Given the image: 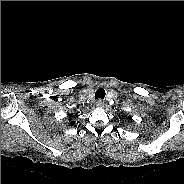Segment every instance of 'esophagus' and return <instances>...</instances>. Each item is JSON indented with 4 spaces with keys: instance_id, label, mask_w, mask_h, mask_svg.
I'll return each instance as SVG.
<instances>
[{
    "instance_id": "esophagus-1",
    "label": "esophagus",
    "mask_w": 184,
    "mask_h": 184,
    "mask_svg": "<svg viewBox=\"0 0 184 184\" xmlns=\"http://www.w3.org/2000/svg\"><path fill=\"white\" fill-rule=\"evenodd\" d=\"M96 106L99 107V108L103 107V106H104V101H102V100H97V101H96Z\"/></svg>"
}]
</instances>
